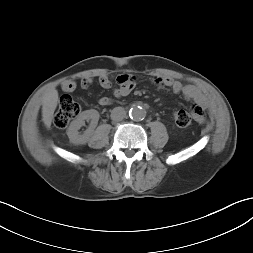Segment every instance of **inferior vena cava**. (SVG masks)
Instances as JSON below:
<instances>
[{
	"instance_id": "1",
	"label": "inferior vena cava",
	"mask_w": 253,
	"mask_h": 253,
	"mask_svg": "<svg viewBox=\"0 0 253 253\" xmlns=\"http://www.w3.org/2000/svg\"><path fill=\"white\" fill-rule=\"evenodd\" d=\"M126 117V111L122 107H115L111 112V119L114 121H121Z\"/></svg>"
}]
</instances>
